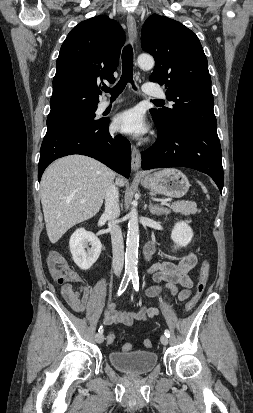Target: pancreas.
<instances>
[{
	"instance_id": "1",
	"label": "pancreas",
	"mask_w": 253,
	"mask_h": 413,
	"mask_svg": "<svg viewBox=\"0 0 253 413\" xmlns=\"http://www.w3.org/2000/svg\"><path fill=\"white\" fill-rule=\"evenodd\" d=\"M170 210L180 213L182 215H190L196 214L199 212L197 209V204L195 202H185V201H177L169 205ZM168 210V213L170 212Z\"/></svg>"
}]
</instances>
